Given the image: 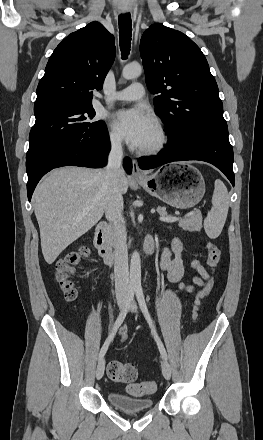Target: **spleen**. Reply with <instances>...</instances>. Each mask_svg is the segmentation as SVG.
<instances>
[{
  "mask_svg": "<svg viewBox=\"0 0 263 440\" xmlns=\"http://www.w3.org/2000/svg\"><path fill=\"white\" fill-rule=\"evenodd\" d=\"M212 205L204 220V229L209 238L215 239L221 234L229 209L228 191L220 179L215 181Z\"/></svg>",
  "mask_w": 263,
  "mask_h": 440,
  "instance_id": "1",
  "label": "spleen"
}]
</instances>
